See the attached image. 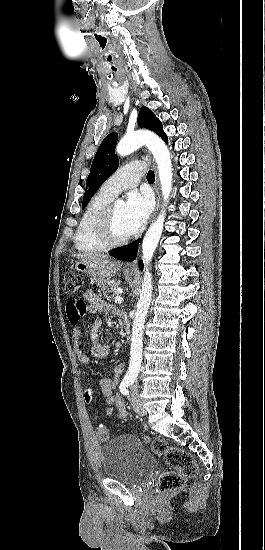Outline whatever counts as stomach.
Returning <instances> with one entry per match:
<instances>
[{
  "label": "stomach",
  "instance_id": "obj_1",
  "mask_svg": "<svg viewBox=\"0 0 265 550\" xmlns=\"http://www.w3.org/2000/svg\"><path fill=\"white\" fill-rule=\"evenodd\" d=\"M75 270L78 272L86 273L90 276H92L98 285L104 286L107 283V279L99 275L93 268H91L88 264L82 262L81 260L76 261L74 264ZM127 275H132L133 272L126 271Z\"/></svg>",
  "mask_w": 265,
  "mask_h": 550
}]
</instances>
